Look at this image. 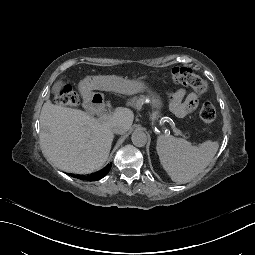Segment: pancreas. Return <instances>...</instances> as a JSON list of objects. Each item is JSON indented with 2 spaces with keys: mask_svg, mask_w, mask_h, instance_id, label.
<instances>
[{
  "mask_svg": "<svg viewBox=\"0 0 255 255\" xmlns=\"http://www.w3.org/2000/svg\"><path fill=\"white\" fill-rule=\"evenodd\" d=\"M144 99H145V97L143 95H141L140 97L135 96L130 101L127 102V106H132V107L140 110Z\"/></svg>",
  "mask_w": 255,
  "mask_h": 255,
  "instance_id": "obj_1",
  "label": "pancreas"
}]
</instances>
